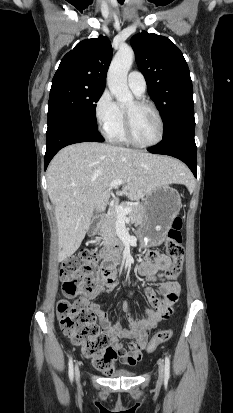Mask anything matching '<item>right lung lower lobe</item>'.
<instances>
[{"label": "right lung lower lobe", "mask_w": 233, "mask_h": 413, "mask_svg": "<svg viewBox=\"0 0 233 413\" xmlns=\"http://www.w3.org/2000/svg\"><path fill=\"white\" fill-rule=\"evenodd\" d=\"M45 170L54 155L63 147L80 142H103V138L97 131L81 122L59 118L48 123L46 133Z\"/></svg>", "instance_id": "obj_1"}]
</instances>
